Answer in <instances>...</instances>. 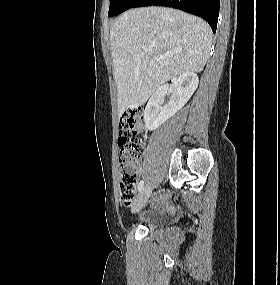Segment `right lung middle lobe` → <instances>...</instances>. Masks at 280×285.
I'll use <instances>...</instances> for the list:
<instances>
[{
  "label": "right lung middle lobe",
  "instance_id": "obj_1",
  "mask_svg": "<svg viewBox=\"0 0 280 285\" xmlns=\"http://www.w3.org/2000/svg\"><path fill=\"white\" fill-rule=\"evenodd\" d=\"M138 0H110V8L108 12V16H116L130 8L133 7V5Z\"/></svg>",
  "mask_w": 280,
  "mask_h": 285
}]
</instances>
